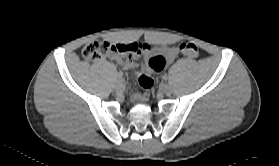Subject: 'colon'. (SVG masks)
<instances>
[{"label": "colon", "instance_id": "obj_1", "mask_svg": "<svg viewBox=\"0 0 279 166\" xmlns=\"http://www.w3.org/2000/svg\"><path fill=\"white\" fill-rule=\"evenodd\" d=\"M178 49L180 53L188 58H196L199 54L198 47L191 42H182ZM143 50L142 44H113L105 41H94L87 44L82 49V57L88 61H95L103 56L114 54L117 56H131L133 54H140ZM161 58L159 56H150L146 61L147 70L142 72L139 76L138 82L143 91H149L154 84L153 78L150 74L161 65Z\"/></svg>", "mask_w": 279, "mask_h": 166}]
</instances>
